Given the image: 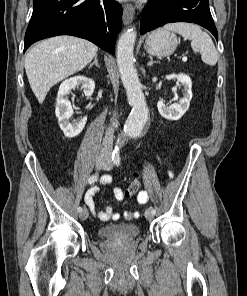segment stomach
Instances as JSON below:
<instances>
[{
  "instance_id": "1",
  "label": "stomach",
  "mask_w": 247,
  "mask_h": 296,
  "mask_svg": "<svg viewBox=\"0 0 247 296\" xmlns=\"http://www.w3.org/2000/svg\"><path fill=\"white\" fill-rule=\"evenodd\" d=\"M177 36L165 29H157L147 37L144 49L153 56L166 57L172 55L178 46Z\"/></svg>"
}]
</instances>
